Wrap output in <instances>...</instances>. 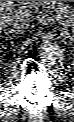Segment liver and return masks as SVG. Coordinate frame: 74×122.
Returning <instances> with one entry per match:
<instances>
[{"mask_svg": "<svg viewBox=\"0 0 74 122\" xmlns=\"http://www.w3.org/2000/svg\"><path fill=\"white\" fill-rule=\"evenodd\" d=\"M16 12H19V11L17 9H14V8L11 10L1 8L0 27L3 28L8 23L9 17L12 16L13 14H15Z\"/></svg>", "mask_w": 74, "mask_h": 122, "instance_id": "liver-1", "label": "liver"}]
</instances>
